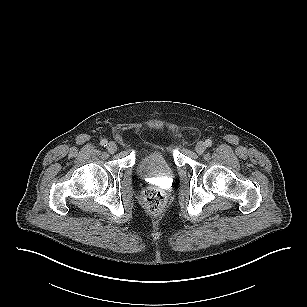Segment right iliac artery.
Returning a JSON list of instances; mask_svg holds the SVG:
<instances>
[{
	"instance_id": "82829eb1",
	"label": "right iliac artery",
	"mask_w": 307,
	"mask_h": 307,
	"mask_svg": "<svg viewBox=\"0 0 307 307\" xmlns=\"http://www.w3.org/2000/svg\"><path fill=\"white\" fill-rule=\"evenodd\" d=\"M107 140L106 139H103V140H101V142H100V144L102 145V146H107Z\"/></svg>"
}]
</instances>
